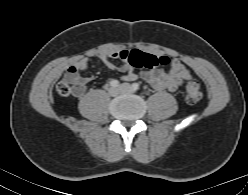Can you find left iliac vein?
Listing matches in <instances>:
<instances>
[{"instance_id":"left-iliac-vein-1","label":"left iliac vein","mask_w":248,"mask_h":195,"mask_svg":"<svg viewBox=\"0 0 248 195\" xmlns=\"http://www.w3.org/2000/svg\"><path fill=\"white\" fill-rule=\"evenodd\" d=\"M119 89H120V92H122V93H133V91H134L132 86H130L127 83L121 84L119 86Z\"/></svg>"}]
</instances>
